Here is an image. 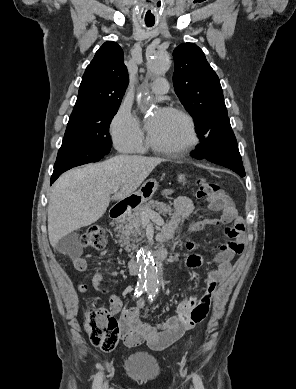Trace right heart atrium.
<instances>
[{
    "mask_svg": "<svg viewBox=\"0 0 296 389\" xmlns=\"http://www.w3.org/2000/svg\"><path fill=\"white\" fill-rule=\"evenodd\" d=\"M114 146L121 152L132 153L143 148V131L138 118L131 110L121 105L110 124Z\"/></svg>",
    "mask_w": 296,
    "mask_h": 389,
    "instance_id": "d8ad5b80",
    "label": "right heart atrium"
}]
</instances>
